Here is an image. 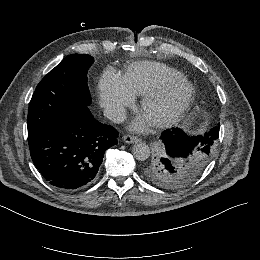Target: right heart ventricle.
<instances>
[{
	"label": "right heart ventricle",
	"mask_w": 260,
	"mask_h": 260,
	"mask_svg": "<svg viewBox=\"0 0 260 260\" xmlns=\"http://www.w3.org/2000/svg\"><path fill=\"white\" fill-rule=\"evenodd\" d=\"M131 71L137 78L136 88L142 93L150 92L164 81L183 76L177 69L160 62L137 63Z\"/></svg>",
	"instance_id": "1"
}]
</instances>
